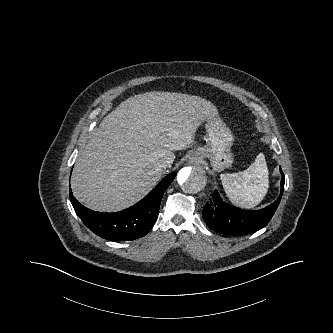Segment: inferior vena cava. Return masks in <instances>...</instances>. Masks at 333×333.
Listing matches in <instances>:
<instances>
[{
    "instance_id": "1",
    "label": "inferior vena cava",
    "mask_w": 333,
    "mask_h": 333,
    "mask_svg": "<svg viewBox=\"0 0 333 333\" xmlns=\"http://www.w3.org/2000/svg\"><path fill=\"white\" fill-rule=\"evenodd\" d=\"M157 167L160 170H164V169L168 168V163L164 160H160V161L157 162Z\"/></svg>"
}]
</instances>
